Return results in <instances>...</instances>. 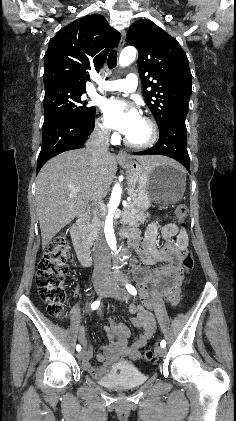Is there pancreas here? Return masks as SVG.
I'll use <instances>...</instances> for the list:
<instances>
[{"mask_svg":"<svg viewBox=\"0 0 236 421\" xmlns=\"http://www.w3.org/2000/svg\"><path fill=\"white\" fill-rule=\"evenodd\" d=\"M95 211H90L86 225H83L85 229V233L88 239H93L94 235H96V227L97 217H94ZM147 217H149V213H140L138 208L134 206L131 200H128V206H124L123 213L121 217V225H128V227H139L141 223H145Z\"/></svg>","mask_w":236,"mask_h":421,"instance_id":"cf45deb5","label":"pancreas"}]
</instances>
